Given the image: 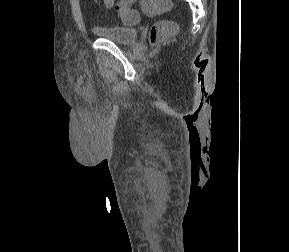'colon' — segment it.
Returning a JSON list of instances; mask_svg holds the SVG:
<instances>
[{
	"label": "colon",
	"instance_id": "obj_1",
	"mask_svg": "<svg viewBox=\"0 0 289 252\" xmlns=\"http://www.w3.org/2000/svg\"><path fill=\"white\" fill-rule=\"evenodd\" d=\"M136 0H120L116 5V10L121 20L127 24H135L139 20L137 11L132 9V4ZM141 10L146 15H157L167 12L171 3L169 0H140ZM177 31L175 22L170 20L158 21L149 31V42L156 45L173 36Z\"/></svg>",
	"mask_w": 289,
	"mask_h": 252
}]
</instances>
